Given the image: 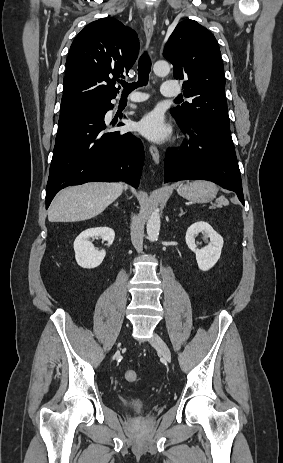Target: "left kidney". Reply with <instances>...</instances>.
Here are the masks:
<instances>
[{
  "label": "left kidney",
  "mask_w": 283,
  "mask_h": 463,
  "mask_svg": "<svg viewBox=\"0 0 283 463\" xmlns=\"http://www.w3.org/2000/svg\"><path fill=\"white\" fill-rule=\"evenodd\" d=\"M199 233L210 239L209 244L202 249H198L195 243V238ZM185 240L188 248L195 253L200 270L208 271L219 260L224 243L223 238L207 222L198 221L193 223L187 229Z\"/></svg>",
  "instance_id": "left-kidney-1"
}]
</instances>
